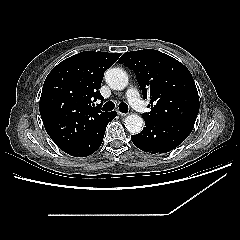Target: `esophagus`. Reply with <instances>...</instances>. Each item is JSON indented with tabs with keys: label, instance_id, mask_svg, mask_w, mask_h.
I'll return each instance as SVG.
<instances>
[{
	"label": "esophagus",
	"instance_id": "34e87169",
	"mask_svg": "<svg viewBox=\"0 0 240 240\" xmlns=\"http://www.w3.org/2000/svg\"><path fill=\"white\" fill-rule=\"evenodd\" d=\"M117 113H118V115L123 116V117L127 115L126 113H123L121 111H117Z\"/></svg>",
	"mask_w": 240,
	"mask_h": 240
}]
</instances>
